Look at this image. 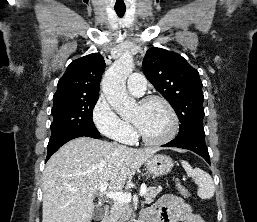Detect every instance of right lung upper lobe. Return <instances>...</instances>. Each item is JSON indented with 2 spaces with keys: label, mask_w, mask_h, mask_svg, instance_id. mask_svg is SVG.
I'll return each instance as SVG.
<instances>
[{
  "label": "right lung upper lobe",
  "mask_w": 257,
  "mask_h": 222,
  "mask_svg": "<svg viewBox=\"0 0 257 222\" xmlns=\"http://www.w3.org/2000/svg\"><path fill=\"white\" fill-rule=\"evenodd\" d=\"M106 67L99 53L72 61L58 81L53 102L99 96L101 76Z\"/></svg>",
  "instance_id": "cb5924a9"
}]
</instances>
